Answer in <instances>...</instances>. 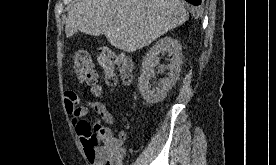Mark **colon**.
<instances>
[{
  "instance_id": "colon-1",
  "label": "colon",
  "mask_w": 276,
  "mask_h": 165,
  "mask_svg": "<svg viewBox=\"0 0 276 165\" xmlns=\"http://www.w3.org/2000/svg\"><path fill=\"white\" fill-rule=\"evenodd\" d=\"M98 62L102 69L104 82L108 87L117 84L118 76L123 82L128 83L132 78V64L122 53H119L109 47H103L99 50ZM73 70L78 75L81 82L92 87L95 94L101 93L99 85V74L96 70L92 56L85 51H77L73 55ZM81 133L86 137L88 145L96 143V131L91 129L87 121L82 120L79 123Z\"/></svg>"
}]
</instances>
